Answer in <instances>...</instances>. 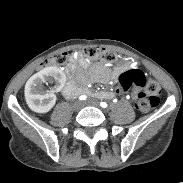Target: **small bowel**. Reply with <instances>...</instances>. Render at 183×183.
I'll use <instances>...</instances> for the list:
<instances>
[{"instance_id": "obj_1", "label": "small bowel", "mask_w": 183, "mask_h": 183, "mask_svg": "<svg viewBox=\"0 0 183 183\" xmlns=\"http://www.w3.org/2000/svg\"><path fill=\"white\" fill-rule=\"evenodd\" d=\"M78 62L83 68L88 67V64L83 59H79ZM125 69H127V67H121V68L117 69L114 73H111L108 69L96 67L95 72L101 76H104V77H107V76L116 77L119 74H121ZM133 70H135V69H133ZM92 95L94 97L100 98V99H109V98H112L114 96V93L108 92V91H96Z\"/></svg>"}]
</instances>
